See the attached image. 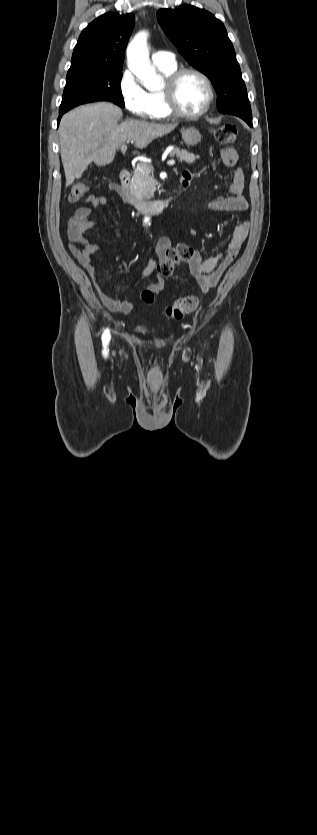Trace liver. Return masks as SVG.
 Listing matches in <instances>:
<instances>
[{"mask_svg":"<svg viewBox=\"0 0 317 835\" xmlns=\"http://www.w3.org/2000/svg\"><path fill=\"white\" fill-rule=\"evenodd\" d=\"M122 115L113 103L97 102L77 107L62 117L59 144L67 186L75 178H81L91 162L99 166L110 164L116 150L126 141L131 140L136 148L143 149L177 127L176 123L133 119L118 124Z\"/></svg>","mask_w":317,"mask_h":835,"instance_id":"liver-1","label":"liver"}]
</instances>
